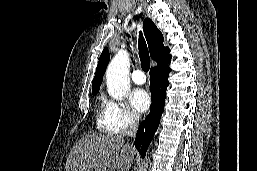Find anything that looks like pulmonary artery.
Instances as JSON below:
<instances>
[{
	"label": "pulmonary artery",
	"mask_w": 257,
	"mask_h": 171,
	"mask_svg": "<svg viewBox=\"0 0 257 171\" xmlns=\"http://www.w3.org/2000/svg\"><path fill=\"white\" fill-rule=\"evenodd\" d=\"M132 81L137 85H142L146 82V76L142 70H135L132 74Z\"/></svg>",
	"instance_id": "1"
}]
</instances>
